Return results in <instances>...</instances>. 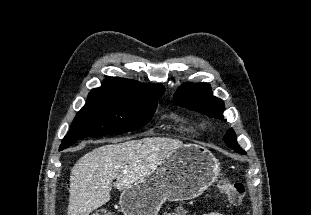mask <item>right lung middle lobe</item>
Returning <instances> with one entry per match:
<instances>
[{"mask_svg":"<svg viewBox=\"0 0 311 215\" xmlns=\"http://www.w3.org/2000/svg\"><path fill=\"white\" fill-rule=\"evenodd\" d=\"M159 99L138 100L110 95H89L85 106L75 116L59 150L90 136L137 130L153 117Z\"/></svg>","mask_w":311,"mask_h":215,"instance_id":"right-lung-middle-lobe-1","label":"right lung middle lobe"}]
</instances>
